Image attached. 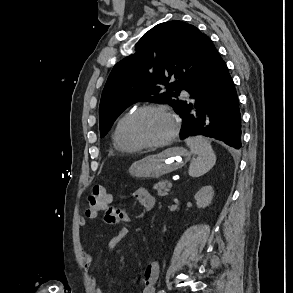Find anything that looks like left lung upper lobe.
Wrapping results in <instances>:
<instances>
[{
	"label": "left lung upper lobe",
	"instance_id": "left-lung-upper-lobe-1",
	"mask_svg": "<svg viewBox=\"0 0 293 293\" xmlns=\"http://www.w3.org/2000/svg\"><path fill=\"white\" fill-rule=\"evenodd\" d=\"M211 40L182 21L160 23L135 45V53L118 62L102 92L99 122L104 137L130 105L151 101L179 112L182 90L195 86L204 71Z\"/></svg>",
	"mask_w": 293,
	"mask_h": 293
}]
</instances>
